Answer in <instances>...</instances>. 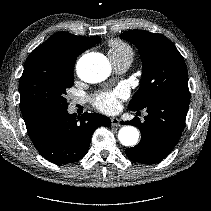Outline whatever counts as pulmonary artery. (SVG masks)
<instances>
[{
  "instance_id": "pulmonary-artery-1",
  "label": "pulmonary artery",
  "mask_w": 211,
  "mask_h": 211,
  "mask_svg": "<svg viewBox=\"0 0 211 211\" xmlns=\"http://www.w3.org/2000/svg\"><path fill=\"white\" fill-rule=\"evenodd\" d=\"M111 62L114 66V69L119 73L125 72L131 64L129 60H119V61H111ZM73 102L81 103L82 100L74 99Z\"/></svg>"
}]
</instances>
